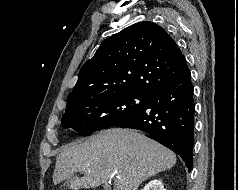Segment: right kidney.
<instances>
[{
    "label": "right kidney",
    "instance_id": "obj_1",
    "mask_svg": "<svg viewBox=\"0 0 238 190\" xmlns=\"http://www.w3.org/2000/svg\"><path fill=\"white\" fill-rule=\"evenodd\" d=\"M142 190H166L160 180L150 181Z\"/></svg>",
    "mask_w": 238,
    "mask_h": 190
}]
</instances>
